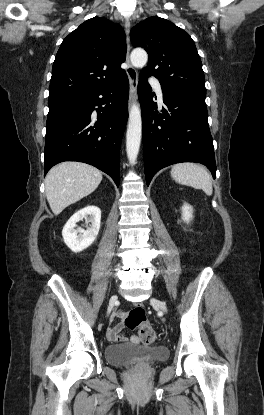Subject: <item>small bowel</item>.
<instances>
[{"instance_id": "obj_1", "label": "small bowel", "mask_w": 264, "mask_h": 415, "mask_svg": "<svg viewBox=\"0 0 264 415\" xmlns=\"http://www.w3.org/2000/svg\"><path fill=\"white\" fill-rule=\"evenodd\" d=\"M124 317L123 311H118L112 320L111 325L106 331V338L109 343L117 344V343H125L128 341V338L122 334L124 330V324L122 323L121 319ZM130 341L135 344H139L140 340L137 336H132Z\"/></svg>"}]
</instances>
